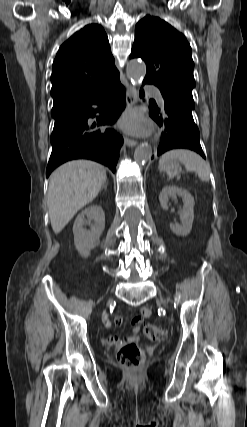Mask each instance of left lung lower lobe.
<instances>
[{
  "label": "left lung lower lobe",
  "instance_id": "left-lung-lower-lobe-1",
  "mask_svg": "<svg viewBox=\"0 0 247 427\" xmlns=\"http://www.w3.org/2000/svg\"><path fill=\"white\" fill-rule=\"evenodd\" d=\"M143 95V91H141ZM153 104V103H151ZM155 109L150 108V117L164 128L161 142L157 150V155L172 149H190L203 158L205 155L200 145V135L197 125L192 116V111L169 101H164V107L159 109L153 104Z\"/></svg>",
  "mask_w": 247,
  "mask_h": 427
}]
</instances>
